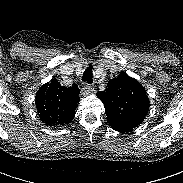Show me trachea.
Returning a JSON list of instances; mask_svg holds the SVG:
<instances>
[{
	"instance_id": "3493384b",
	"label": "trachea",
	"mask_w": 183,
	"mask_h": 183,
	"mask_svg": "<svg viewBox=\"0 0 183 183\" xmlns=\"http://www.w3.org/2000/svg\"><path fill=\"white\" fill-rule=\"evenodd\" d=\"M93 66L91 64H89V67L84 71L83 76H82V80L88 83H92L93 82Z\"/></svg>"
}]
</instances>
